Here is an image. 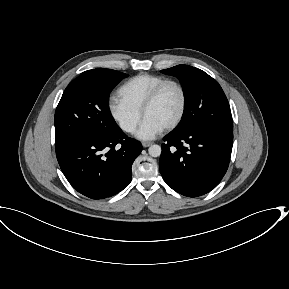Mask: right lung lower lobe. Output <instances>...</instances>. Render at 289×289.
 <instances>
[{
  "label": "right lung lower lobe",
  "instance_id": "98d812e1",
  "mask_svg": "<svg viewBox=\"0 0 289 289\" xmlns=\"http://www.w3.org/2000/svg\"><path fill=\"white\" fill-rule=\"evenodd\" d=\"M141 151V143L118 127L109 134L80 140L56 156L76 191L91 199H104L131 182V166Z\"/></svg>",
  "mask_w": 289,
  "mask_h": 289
}]
</instances>
